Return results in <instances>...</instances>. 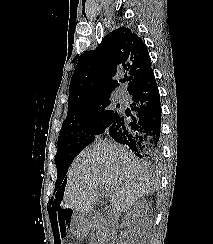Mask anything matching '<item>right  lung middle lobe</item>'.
Returning a JSON list of instances; mask_svg holds the SVG:
<instances>
[{
  "label": "right lung middle lobe",
  "instance_id": "dd1d6c3e",
  "mask_svg": "<svg viewBox=\"0 0 213 244\" xmlns=\"http://www.w3.org/2000/svg\"><path fill=\"white\" fill-rule=\"evenodd\" d=\"M117 115L118 112L113 109L110 96L68 109L55 156L58 169L56 188L62 183L74 157L94 141L96 134L104 133Z\"/></svg>",
  "mask_w": 213,
  "mask_h": 244
}]
</instances>
